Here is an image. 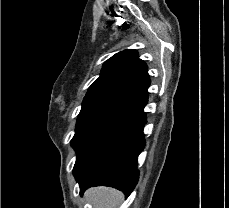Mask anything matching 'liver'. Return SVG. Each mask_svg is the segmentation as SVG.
Wrapping results in <instances>:
<instances>
[{"label":"liver","instance_id":"1","mask_svg":"<svg viewBox=\"0 0 229 208\" xmlns=\"http://www.w3.org/2000/svg\"><path fill=\"white\" fill-rule=\"evenodd\" d=\"M85 198L94 208H117L124 200L122 192L113 188H90L85 192Z\"/></svg>","mask_w":229,"mask_h":208}]
</instances>
